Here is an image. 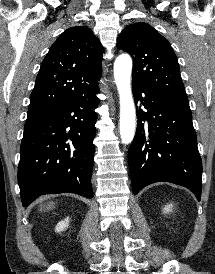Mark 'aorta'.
Listing matches in <instances>:
<instances>
[{"label":"aorta","mask_w":215,"mask_h":274,"mask_svg":"<svg viewBox=\"0 0 215 274\" xmlns=\"http://www.w3.org/2000/svg\"><path fill=\"white\" fill-rule=\"evenodd\" d=\"M132 60L127 54L117 57L114 78L120 99V136L123 143H130L135 134L136 112L131 92Z\"/></svg>","instance_id":"762f6f07"}]
</instances>
